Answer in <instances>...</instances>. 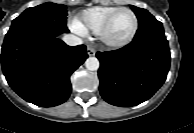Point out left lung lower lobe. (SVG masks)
I'll return each mask as SVG.
<instances>
[{
  "mask_svg": "<svg viewBox=\"0 0 194 133\" xmlns=\"http://www.w3.org/2000/svg\"><path fill=\"white\" fill-rule=\"evenodd\" d=\"M96 56L100 93L106 102L120 107L148 100L166 80L170 66L168 41L158 20L139 26L125 47Z\"/></svg>",
  "mask_w": 194,
  "mask_h": 133,
  "instance_id": "0a47b994",
  "label": "left lung lower lobe"
}]
</instances>
